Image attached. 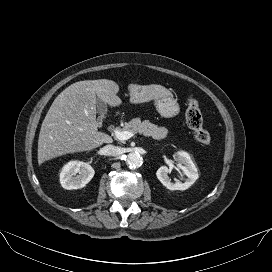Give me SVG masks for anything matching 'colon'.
I'll list each match as a JSON object with an SVG mask.
<instances>
[{
	"instance_id": "colon-1",
	"label": "colon",
	"mask_w": 272,
	"mask_h": 272,
	"mask_svg": "<svg viewBox=\"0 0 272 272\" xmlns=\"http://www.w3.org/2000/svg\"><path fill=\"white\" fill-rule=\"evenodd\" d=\"M185 119L188 127L193 131L196 140L205 145L210 144L211 135L203 127V119L199 103L192 95L187 99Z\"/></svg>"
}]
</instances>
